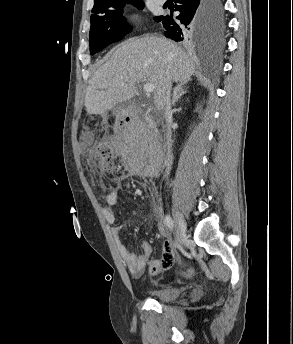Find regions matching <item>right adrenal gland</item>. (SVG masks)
I'll return each mask as SVG.
<instances>
[{
  "mask_svg": "<svg viewBox=\"0 0 293 344\" xmlns=\"http://www.w3.org/2000/svg\"><path fill=\"white\" fill-rule=\"evenodd\" d=\"M188 81L178 83L177 86L174 88L173 92V98H172V105L175 106L176 102L179 100V98L186 94L187 91L184 89L185 85Z\"/></svg>",
  "mask_w": 293,
  "mask_h": 344,
  "instance_id": "1",
  "label": "right adrenal gland"
}]
</instances>
